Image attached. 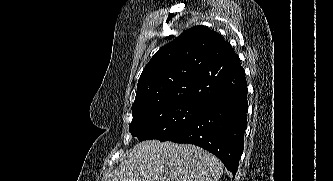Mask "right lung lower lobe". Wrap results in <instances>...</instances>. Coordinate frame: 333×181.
I'll list each match as a JSON object with an SVG mask.
<instances>
[{"mask_svg": "<svg viewBox=\"0 0 333 181\" xmlns=\"http://www.w3.org/2000/svg\"><path fill=\"white\" fill-rule=\"evenodd\" d=\"M247 87L203 105L195 120L169 139L191 143L215 154L235 176L247 128Z\"/></svg>", "mask_w": 333, "mask_h": 181, "instance_id": "right-lung-lower-lobe-1", "label": "right lung lower lobe"}]
</instances>
